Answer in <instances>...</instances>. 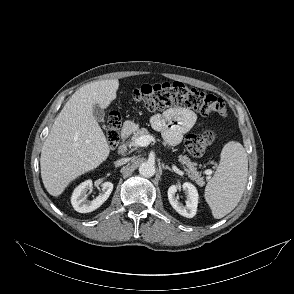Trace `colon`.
Listing matches in <instances>:
<instances>
[{
  "label": "colon",
  "mask_w": 294,
  "mask_h": 294,
  "mask_svg": "<svg viewBox=\"0 0 294 294\" xmlns=\"http://www.w3.org/2000/svg\"><path fill=\"white\" fill-rule=\"evenodd\" d=\"M133 97L149 111L162 110L173 105H184L203 115L225 116L227 113L226 105L221 98L180 82L142 85L134 90ZM120 123L119 113L111 111L107 119V139L110 146H115L117 143ZM214 138L212 131L195 132L186 137L185 146L192 156L199 157L205 153Z\"/></svg>",
  "instance_id": "1"
}]
</instances>
